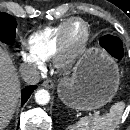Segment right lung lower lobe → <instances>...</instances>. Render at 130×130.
Wrapping results in <instances>:
<instances>
[{
	"label": "right lung lower lobe",
	"mask_w": 130,
	"mask_h": 130,
	"mask_svg": "<svg viewBox=\"0 0 130 130\" xmlns=\"http://www.w3.org/2000/svg\"><path fill=\"white\" fill-rule=\"evenodd\" d=\"M37 88V86H28L26 88H24L21 92V96H22V106L24 105V103L29 99L31 93Z\"/></svg>",
	"instance_id": "1"
}]
</instances>
